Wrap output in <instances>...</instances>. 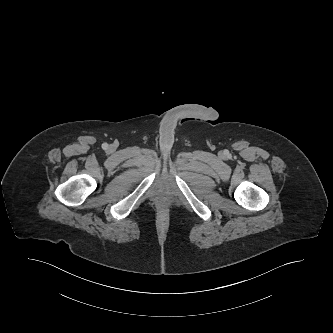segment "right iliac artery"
<instances>
[{"mask_svg":"<svg viewBox=\"0 0 333 333\" xmlns=\"http://www.w3.org/2000/svg\"><path fill=\"white\" fill-rule=\"evenodd\" d=\"M102 147H103L104 149H106V148L108 147V145L105 143V144L102 145Z\"/></svg>","mask_w":333,"mask_h":333,"instance_id":"1","label":"right iliac artery"}]
</instances>
